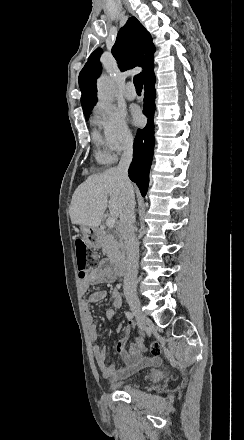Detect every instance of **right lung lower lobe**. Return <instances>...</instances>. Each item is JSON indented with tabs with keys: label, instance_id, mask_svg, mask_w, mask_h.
I'll return each instance as SVG.
<instances>
[{
	"label": "right lung lower lobe",
	"instance_id": "obj_1",
	"mask_svg": "<svg viewBox=\"0 0 244 440\" xmlns=\"http://www.w3.org/2000/svg\"><path fill=\"white\" fill-rule=\"evenodd\" d=\"M144 81V114L148 117L147 125L139 129L134 141L133 161L128 170L129 178L137 184L142 196L148 189L149 170L154 148V110H155V75L153 70L143 78Z\"/></svg>",
	"mask_w": 244,
	"mask_h": 440
}]
</instances>
